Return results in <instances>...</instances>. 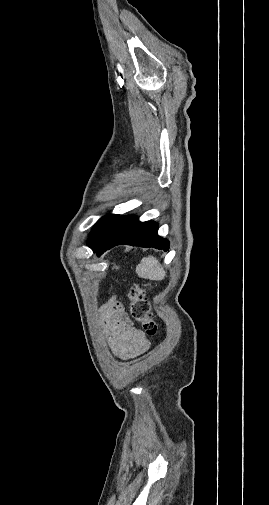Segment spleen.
Wrapping results in <instances>:
<instances>
[{"mask_svg": "<svg viewBox=\"0 0 269 505\" xmlns=\"http://www.w3.org/2000/svg\"><path fill=\"white\" fill-rule=\"evenodd\" d=\"M136 273L141 278L154 281H161L166 277V271L157 258L152 255L141 260L140 264L136 267Z\"/></svg>", "mask_w": 269, "mask_h": 505, "instance_id": "3e777b00", "label": "spleen"}]
</instances>
